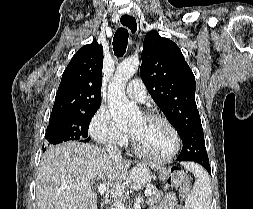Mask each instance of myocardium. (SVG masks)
I'll list each match as a JSON object with an SVG mask.
<instances>
[{"instance_id":"obj_1","label":"myocardium","mask_w":253,"mask_h":209,"mask_svg":"<svg viewBox=\"0 0 253 209\" xmlns=\"http://www.w3.org/2000/svg\"><path fill=\"white\" fill-rule=\"evenodd\" d=\"M144 117L146 119L159 120V121H162L163 123H165L169 127V129L171 130V132L173 134L174 146H173V149L168 154H166L164 156H153V155L145 152L140 147V145L137 142V140L135 139V137L133 135H131L132 146H133L134 151L140 157H142L146 160L152 161V162L163 163V162L170 161L179 152L180 146H181V138H180L177 128L174 126V124L167 117H165L164 115H161L159 113H153V112L146 113L144 115Z\"/></svg>"}]
</instances>
